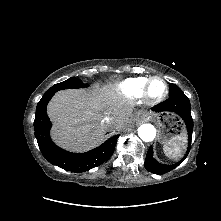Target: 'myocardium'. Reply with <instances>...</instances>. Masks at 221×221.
<instances>
[{
	"label": "myocardium",
	"instance_id": "1",
	"mask_svg": "<svg viewBox=\"0 0 221 221\" xmlns=\"http://www.w3.org/2000/svg\"><path fill=\"white\" fill-rule=\"evenodd\" d=\"M159 80L163 83L164 85V92L160 95V96H152L150 93V88L151 85L154 81ZM169 94V86L166 82L165 79H163L162 77L159 76H153L151 78H149V80L147 81L144 91H143V99L145 101V103L149 104V105H154L157 103L162 102L163 100H165L167 98Z\"/></svg>",
	"mask_w": 221,
	"mask_h": 221
}]
</instances>
